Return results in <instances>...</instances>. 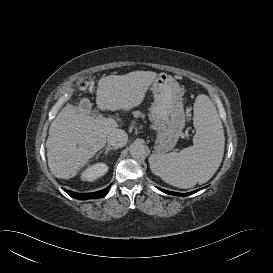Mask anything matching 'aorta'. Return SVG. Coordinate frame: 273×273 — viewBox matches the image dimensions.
<instances>
[{
	"instance_id": "aorta-1",
	"label": "aorta",
	"mask_w": 273,
	"mask_h": 273,
	"mask_svg": "<svg viewBox=\"0 0 273 273\" xmlns=\"http://www.w3.org/2000/svg\"><path fill=\"white\" fill-rule=\"evenodd\" d=\"M146 146L139 142H134L130 146V155L135 159H141L146 156Z\"/></svg>"
}]
</instances>
